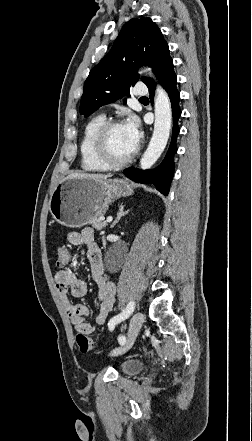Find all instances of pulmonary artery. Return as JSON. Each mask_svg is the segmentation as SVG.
Here are the masks:
<instances>
[{"mask_svg":"<svg viewBox=\"0 0 252 441\" xmlns=\"http://www.w3.org/2000/svg\"><path fill=\"white\" fill-rule=\"evenodd\" d=\"M148 88L146 86H144L143 84H138L134 94L136 96L142 97V96H146L148 94Z\"/></svg>","mask_w":252,"mask_h":441,"instance_id":"1","label":"pulmonary artery"}]
</instances>
